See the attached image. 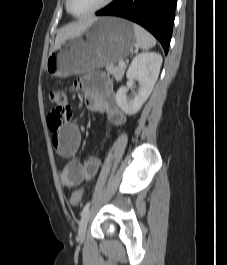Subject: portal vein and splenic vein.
Segmentation results:
<instances>
[{"label": "portal vein and splenic vein", "instance_id": "18ae733b", "mask_svg": "<svg viewBox=\"0 0 227 265\" xmlns=\"http://www.w3.org/2000/svg\"><path fill=\"white\" fill-rule=\"evenodd\" d=\"M119 66H120V67H124V66H125V62L120 61V62H119Z\"/></svg>", "mask_w": 227, "mask_h": 265}]
</instances>
